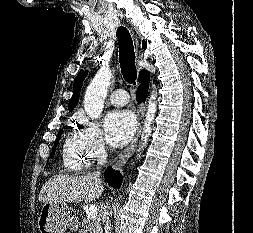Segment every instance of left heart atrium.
I'll use <instances>...</instances> for the list:
<instances>
[{
    "mask_svg": "<svg viewBox=\"0 0 253 233\" xmlns=\"http://www.w3.org/2000/svg\"><path fill=\"white\" fill-rule=\"evenodd\" d=\"M135 128V117L129 111H113L105 118V132L113 146L125 145L132 138Z\"/></svg>",
    "mask_w": 253,
    "mask_h": 233,
    "instance_id": "39dd6f15",
    "label": "left heart atrium"
}]
</instances>
